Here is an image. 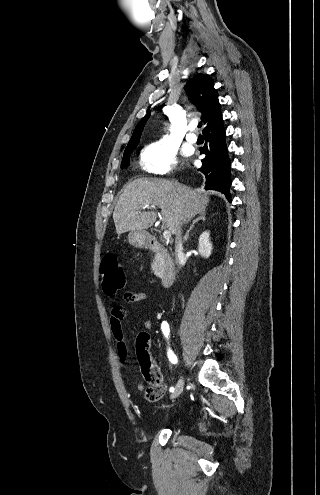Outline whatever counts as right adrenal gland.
<instances>
[{"label":"right adrenal gland","instance_id":"1","mask_svg":"<svg viewBox=\"0 0 320 495\" xmlns=\"http://www.w3.org/2000/svg\"><path fill=\"white\" fill-rule=\"evenodd\" d=\"M206 212L205 210L204 211H201L200 213H198V216L197 218L192 222V224L190 225L189 229L187 230L185 236H184V239H183V243H185L189 237V233L190 231L194 228L195 224L198 223L199 221H205L206 220Z\"/></svg>","mask_w":320,"mask_h":495}]
</instances>
